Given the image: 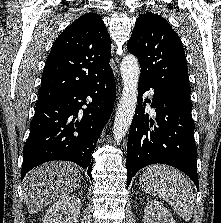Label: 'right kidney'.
Returning a JSON list of instances; mask_svg holds the SVG:
<instances>
[{
	"label": "right kidney",
	"instance_id": "obj_1",
	"mask_svg": "<svg viewBox=\"0 0 221 223\" xmlns=\"http://www.w3.org/2000/svg\"><path fill=\"white\" fill-rule=\"evenodd\" d=\"M81 203L77 195L59 199L46 212L43 223H78Z\"/></svg>",
	"mask_w": 221,
	"mask_h": 223
}]
</instances>
